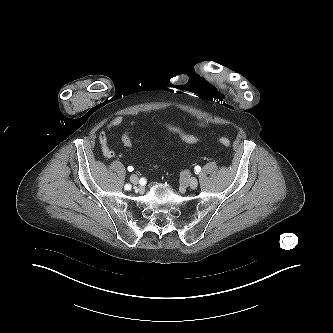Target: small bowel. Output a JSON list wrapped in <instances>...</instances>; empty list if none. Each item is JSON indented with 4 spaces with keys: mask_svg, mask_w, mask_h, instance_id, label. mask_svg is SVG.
<instances>
[{
    "mask_svg": "<svg viewBox=\"0 0 333 333\" xmlns=\"http://www.w3.org/2000/svg\"><path fill=\"white\" fill-rule=\"evenodd\" d=\"M123 122V117L118 115L113 117L108 123L105 130L101 131L99 134V143L103 155L106 158H112L115 155V151L109 146V133L111 130L119 127ZM196 126L199 128H207L208 124L206 122H197Z\"/></svg>",
    "mask_w": 333,
    "mask_h": 333,
    "instance_id": "small-bowel-1",
    "label": "small bowel"
}]
</instances>
